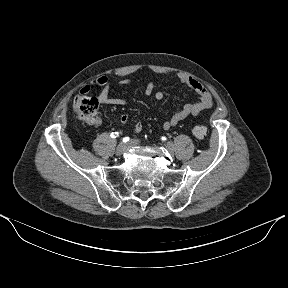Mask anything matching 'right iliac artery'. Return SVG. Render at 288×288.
<instances>
[{"label": "right iliac artery", "instance_id": "right-iliac-artery-1", "mask_svg": "<svg viewBox=\"0 0 288 288\" xmlns=\"http://www.w3.org/2000/svg\"><path fill=\"white\" fill-rule=\"evenodd\" d=\"M117 136H118V132H112V133H111V137H112V138H116Z\"/></svg>", "mask_w": 288, "mask_h": 288}]
</instances>
